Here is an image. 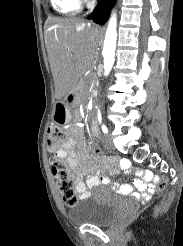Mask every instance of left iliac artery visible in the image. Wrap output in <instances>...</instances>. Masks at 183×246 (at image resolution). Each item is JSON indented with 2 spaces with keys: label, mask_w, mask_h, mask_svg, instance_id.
<instances>
[{
  "label": "left iliac artery",
  "mask_w": 183,
  "mask_h": 246,
  "mask_svg": "<svg viewBox=\"0 0 183 246\" xmlns=\"http://www.w3.org/2000/svg\"><path fill=\"white\" fill-rule=\"evenodd\" d=\"M101 128H102L103 133H105V134L108 133V129H107L106 125L103 124Z\"/></svg>",
  "instance_id": "obj_1"
}]
</instances>
